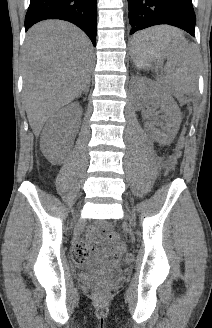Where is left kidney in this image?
<instances>
[{"label": "left kidney", "mask_w": 212, "mask_h": 328, "mask_svg": "<svg viewBox=\"0 0 212 328\" xmlns=\"http://www.w3.org/2000/svg\"><path fill=\"white\" fill-rule=\"evenodd\" d=\"M137 85V107L140 108L144 99H150L154 106L159 107L162 113L163 123L160 128H155L153 124L145 123L146 130L153 139L159 143H167L174 139L181 122L180 109L177 103L162 87L156 82L144 78L135 77L133 79Z\"/></svg>", "instance_id": "left-kidney-1"}]
</instances>
